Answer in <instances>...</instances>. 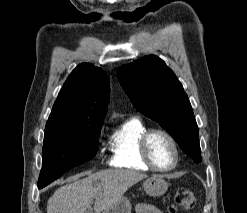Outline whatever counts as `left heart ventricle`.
<instances>
[{
  "label": "left heart ventricle",
  "mask_w": 247,
  "mask_h": 213,
  "mask_svg": "<svg viewBox=\"0 0 247 213\" xmlns=\"http://www.w3.org/2000/svg\"><path fill=\"white\" fill-rule=\"evenodd\" d=\"M149 151L154 163L161 168H168L174 162V151L169 140L161 135L155 134L150 139Z\"/></svg>",
  "instance_id": "obj_1"
}]
</instances>
